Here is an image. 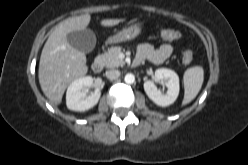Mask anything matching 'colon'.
<instances>
[{
    "instance_id": "colon-1",
    "label": "colon",
    "mask_w": 248,
    "mask_h": 165,
    "mask_svg": "<svg viewBox=\"0 0 248 165\" xmlns=\"http://www.w3.org/2000/svg\"><path fill=\"white\" fill-rule=\"evenodd\" d=\"M160 36L163 40L174 41V40H178L181 37V34L176 30L163 29L160 32ZM193 58L194 56L191 50H185L182 53V61L186 65L190 64L193 61Z\"/></svg>"
}]
</instances>
